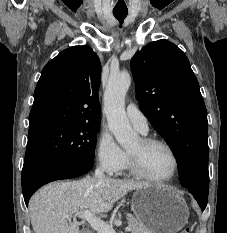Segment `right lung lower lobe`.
<instances>
[{
	"mask_svg": "<svg viewBox=\"0 0 227 233\" xmlns=\"http://www.w3.org/2000/svg\"><path fill=\"white\" fill-rule=\"evenodd\" d=\"M93 167L74 162H53L42 164L22 174V191L26 206L33 193L41 186L60 179H69L89 172Z\"/></svg>",
	"mask_w": 227,
	"mask_h": 233,
	"instance_id": "right-lung-lower-lobe-1",
	"label": "right lung lower lobe"
}]
</instances>
